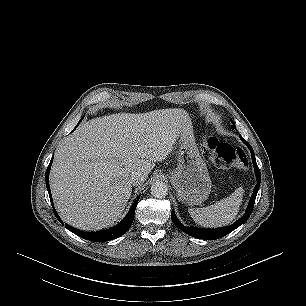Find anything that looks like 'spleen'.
Listing matches in <instances>:
<instances>
[{"label":"spleen","instance_id":"3e777b00","mask_svg":"<svg viewBox=\"0 0 306 306\" xmlns=\"http://www.w3.org/2000/svg\"><path fill=\"white\" fill-rule=\"evenodd\" d=\"M244 190L237 188L230 196L203 208H190L188 212L193 220L206 228H218L230 224L239 212Z\"/></svg>","mask_w":306,"mask_h":306}]
</instances>
